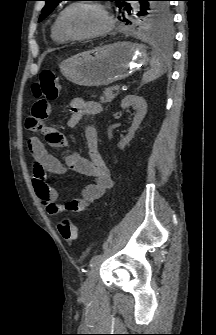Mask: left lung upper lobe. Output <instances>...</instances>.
Returning a JSON list of instances; mask_svg holds the SVG:
<instances>
[{
    "label": "left lung upper lobe",
    "instance_id": "1",
    "mask_svg": "<svg viewBox=\"0 0 216 335\" xmlns=\"http://www.w3.org/2000/svg\"><path fill=\"white\" fill-rule=\"evenodd\" d=\"M44 1L46 4L42 9L39 22L46 18L63 0ZM110 1H115L118 4L120 12L126 10L128 14L137 19L141 30L163 36L172 34V14L167 3L168 0H135L140 2V10L129 4L131 0ZM124 20L129 23L127 19L124 18Z\"/></svg>",
    "mask_w": 216,
    "mask_h": 335
}]
</instances>
